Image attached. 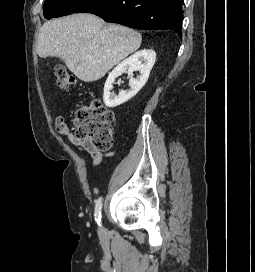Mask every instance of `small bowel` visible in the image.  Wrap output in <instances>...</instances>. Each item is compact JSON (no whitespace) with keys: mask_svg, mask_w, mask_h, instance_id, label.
<instances>
[{"mask_svg":"<svg viewBox=\"0 0 255 272\" xmlns=\"http://www.w3.org/2000/svg\"><path fill=\"white\" fill-rule=\"evenodd\" d=\"M55 126L56 130L59 133L60 136L67 139L68 141L72 142L80 151L82 152H88L90 156L92 157V163L94 166L99 165L104 155L101 151H98L88 144H85L81 141H79L73 133L70 131L69 126L67 125L65 119L63 116H57L55 119Z\"/></svg>","mask_w":255,"mask_h":272,"instance_id":"small-bowel-1","label":"small bowel"}]
</instances>
